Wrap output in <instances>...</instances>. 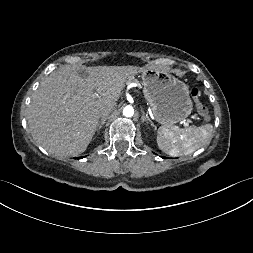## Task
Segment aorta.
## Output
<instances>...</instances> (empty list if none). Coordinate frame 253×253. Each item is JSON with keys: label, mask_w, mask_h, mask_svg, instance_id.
Returning a JSON list of instances; mask_svg holds the SVG:
<instances>
[{"label": "aorta", "mask_w": 253, "mask_h": 253, "mask_svg": "<svg viewBox=\"0 0 253 253\" xmlns=\"http://www.w3.org/2000/svg\"><path fill=\"white\" fill-rule=\"evenodd\" d=\"M134 114V109L133 107L131 106H126L124 109H123V115L125 117H132Z\"/></svg>", "instance_id": "aorta-1"}]
</instances>
